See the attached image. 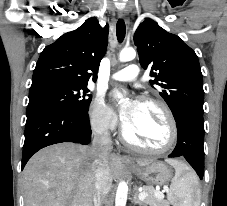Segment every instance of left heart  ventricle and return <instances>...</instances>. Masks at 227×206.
I'll return each mask as SVG.
<instances>
[{"instance_id":"left-heart-ventricle-1","label":"left heart ventricle","mask_w":227,"mask_h":206,"mask_svg":"<svg viewBox=\"0 0 227 206\" xmlns=\"http://www.w3.org/2000/svg\"><path fill=\"white\" fill-rule=\"evenodd\" d=\"M125 130L132 141L146 148L163 147L169 138L167 119L162 110L153 104L139 102Z\"/></svg>"}]
</instances>
